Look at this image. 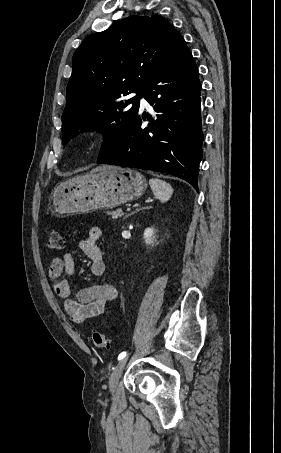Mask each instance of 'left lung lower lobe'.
<instances>
[{
	"label": "left lung lower lobe",
	"mask_w": 281,
	"mask_h": 453,
	"mask_svg": "<svg viewBox=\"0 0 281 453\" xmlns=\"http://www.w3.org/2000/svg\"><path fill=\"white\" fill-rule=\"evenodd\" d=\"M200 91L195 61L182 36L176 35L144 94L159 112L156 122L148 115L151 124L142 129L137 115L122 138L97 163L172 174L198 190L204 139Z\"/></svg>",
	"instance_id": "1"
}]
</instances>
